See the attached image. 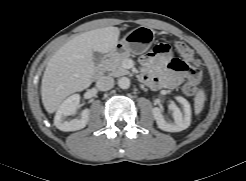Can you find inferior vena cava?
I'll use <instances>...</instances> for the list:
<instances>
[{
  "label": "inferior vena cava",
  "instance_id": "602c4592",
  "mask_svg": "<svg viewBox=\"0 0 246 181\" xmlns=\"http://www.w3.org/2000/svg\"><path fill=\"white\" fill-rule=\"evenodd\" d=\"M114 79L110 76H101L96 82V87L100 91H107L113 88Z\"/></svg>",
  "mask_w": 246,
  "mask_h": 181
}]
</instances>
